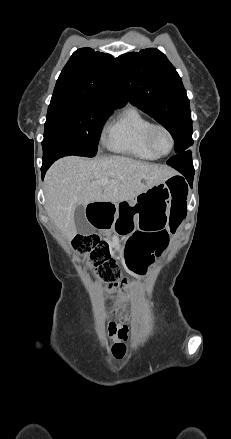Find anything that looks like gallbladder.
Instances as JSON below:
<instances>
[{
    "label": "gallbladder",
    "mask_w": 231,
    "mask_h": 439,
    "mask_svg": "<svg viewBox=\"0 0 231 439\" xmlns=\"http://www.w3.org/2000/svg\"><path fill=\"white\" fill-rule=\"evenodd\" d=\"M74 221L75 226L77 229V232L79 234H92L93 233V227L88 224L85 214H84V207L79 205L74 214Z\"/></svg>",
    "instance_id": "bac80fb5"
}]
</instances>
